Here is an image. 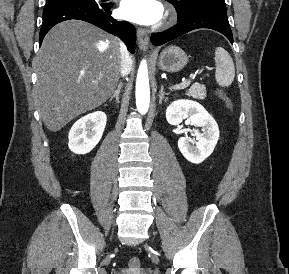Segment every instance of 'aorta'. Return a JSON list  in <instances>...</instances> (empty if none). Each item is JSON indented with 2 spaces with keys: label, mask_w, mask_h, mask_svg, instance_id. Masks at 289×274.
Wrapping results in <instances>:
<instances>
[{
  "label": "aorta",
  "mask_w": 289,
  "mask_h": 274,
  "mask_svg": "<svg viewBox=\"0 0 289 274\" xmlns=\"http://www.w3.org/2000/svg\"><path fill=\"white\" fill-rule=\"evenodd\" d=\"M150 104V87L147 63L143 60L136 79V106L140 114H146Z\"/></svg>",
  "instance_id": "1"
}]
</instances>
